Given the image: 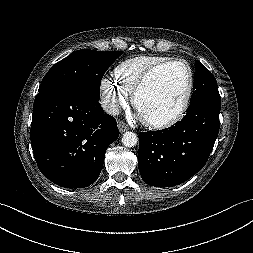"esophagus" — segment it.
Listing matches in <instances>:
<instances>
[{"instance_id":"obj_1","label":"esophagus","mask_w":253,"mask_h":253,"mask_svg":"<svg viewBox=\"0 0 253 253\" xmlns=\"http://www.w3.org/2000/svg\"><path fill=\"white\" fill-rule=\"evenodd\" d=\"M118 129L121 133H123V132L127 131L129 128L124 122L118 121Z\"/></svg>"}]
</instances>
